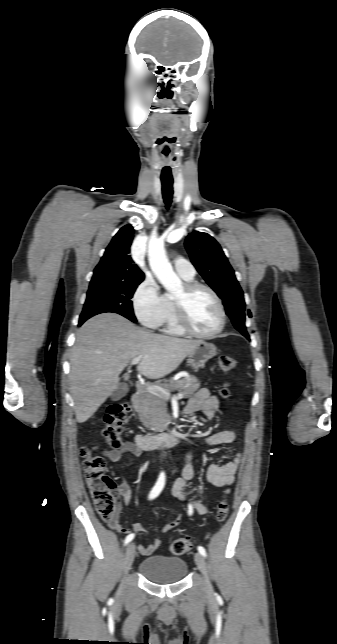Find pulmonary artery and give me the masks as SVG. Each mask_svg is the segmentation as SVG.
Segmentation results:
<instances>
[{
  "instance_id": "1",
  "label": "pulmonary artery",
  "mask_w": 337,
  "mask_h": 644,
  "mask_svg": "<svg viewBox=\"0 0 337 644\" xmlns=\"http://www.w3.org/2000/svg\"><path fill=\"white\" fill-rule=\"evenodd\" d=\"M176 272L184 277H194L196 274L194 266L186 259L178 258L174 262Z\"/></svg>"
}]
</instances>
